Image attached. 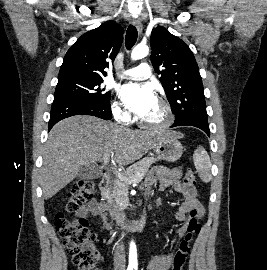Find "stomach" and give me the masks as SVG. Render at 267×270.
Listing matches in <instances>:
<instances>
[{
	"label": "stomach",
	"instance_id": "stomach-1",
	"mask_svg": "<svg viewBox=\"0 0 267 270\" xmlns=\"http://www.w3.org/2000/svg\"><path fill=\"white\" fill-rule=\"evenodd\" d=\"M155 153L162 160L174 162L181 157L183 147L176 137L170 136L163 139L155 147Z\"/></svg>",
	"mask_w": 267,
	"mask_h": 270
}]
</instances>
